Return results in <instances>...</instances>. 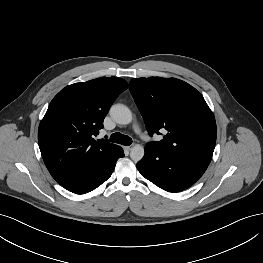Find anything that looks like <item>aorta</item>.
Masks as SVG:
<instances>
[{
	"instance_id": "762f6f07",
	"label": "aorta",
	"mask_w": 263,
	"mask_h": 263,
	"mask_svg": "<svg viewBox=\"0 0 263 263\" xmlns=\"http://www.w3.org/2000/svg\"><path fill=\"white\" fill-rule=\"evenodd\" d=\"M110 116L112 119L121 125H127L132 121V112L130 109L123 104H115L110 109ZM144 147L136 144L132 147L130 152V158L134 162L140 161L144 156Z\"/></svg>"
}]
</instances>
